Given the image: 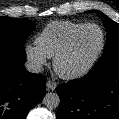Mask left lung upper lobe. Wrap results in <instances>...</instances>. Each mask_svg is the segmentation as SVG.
Instances as JSON below:
<instances>
[{
    "label": "left lung upper lobe",
    "instance_id": "1",
    "mask_svg": "<svg viewBox=\"0 0 119 119\" xmlns=\"http://www.w3.org/2000/svg\"><path fill=\"white\" fill-rule=\"evenodd\" d=\"M103 21L107 30L104 52L92 72L101 73L119 64V24L100 11H94Z\"/></svg>",
    "mask_w": 119,
    "mask_h": 119
}]
</instances>
